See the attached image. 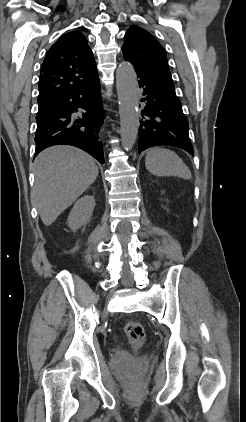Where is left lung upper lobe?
Wrapping results in <instances>:
<instances>
[{"instance_id":"obj_1","label":"left lung upper lobe","mask_w":246,"mask_h":422,"mask_svg":"<svg viewBox=\"0 0 246 422\" xmlns=\"http://www.w3.org/2000/svg\"><path fill=\"white\" fill-rule=\"evenodd\" d=\"M122 52L124 59L130 61L136 71L175 93L166 53L148 31L138 26H131L125 34Z\"/></svg>"}]
</instances>
